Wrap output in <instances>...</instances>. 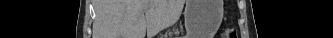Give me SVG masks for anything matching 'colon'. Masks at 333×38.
I'll return each mask as SVG.
<instances>
[{
	"mask_svg": "<svg viewBox=\"0 0 333 38\" xmlns=\"http://www.w3.org/2000/svg\"><path fill=\"white\" fill-rule=\"evenodd\" d=\"M235 37V32L233 30H227L224 34V38H234Z\"/></svg>",
	"mask_w": 333,
	"mask_h": 38,
	"instance_id": "colon-1",
	"label": "colon"
}]
</instances>
